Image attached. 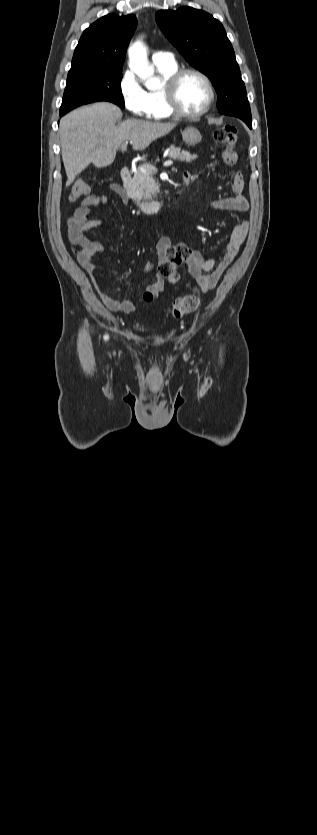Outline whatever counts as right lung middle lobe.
I'll list each match as a JSON object with an SVG mask.
<instances>
[{"instance_id":"obj_1","label":"right lung middle lobe","mask_w":317,"mask_h":835,"mask_svg":"<svg viewBox=\"0 0 317 835\" xmlns=\"http://www.w3.org/2000/svg\"><path fill=\"white\" fill-rule=\"evenodd\" d=\"M122 69L108 67H78L70 69L60 112L84 104L109 101L124 108L121 92Z\"/></svg>"}]
</instances>
